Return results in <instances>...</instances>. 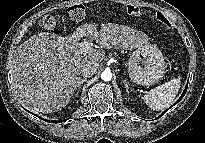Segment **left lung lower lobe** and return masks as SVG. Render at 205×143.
I'll return each mask as SVG.
<instances>
[{
  "instance_id": "1",
  "label": "left lung lower lobe",
  "mask_w": 205,
  "mask_h": 143,
  "mask_svg": "<svg viewBox=\"0 0 205 143\" xmlns=\"http://www.w3.org/2000/svg\"><path fill=\"white\" fill-rule=\"evenodd\" d=\"M187 87H188V84L186 85V88H185L184 92L182 93L181 97L177 100L176 103H178V102L183 98V96L185 95V93H186V91H187ZM176 103H175V104H176ZM171 107H172V106H171ZM171 107H170V108H171ZM166 111H167V110H166ZM166 111H165V112H166ZM165 112H164V113H165ZM164 113H163V114H164ZM163 114H162V115H163ZM162 115H161V116H162Z\"/></svg>"
}]
</instances>
